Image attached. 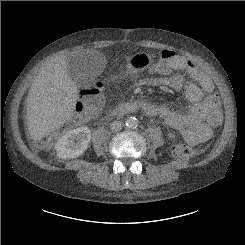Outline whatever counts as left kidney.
<instances>
[{
	"label": "left kidney",
	"mask_w": 245,
	"mask_h": 245,
	"mask_svg": "<svg viewBox=\"0 0 245 245\" xmlns=\"http://www.w3.org/2000/svg\"><path fill=\"white\" fill-rule=\"evenodd\" d=\"M168 136H169V138H175V134L174 133H172V132H170L169 134H168Z\"/></svg>",
	"instance_id": "5707ae66"
}]
</instances>
